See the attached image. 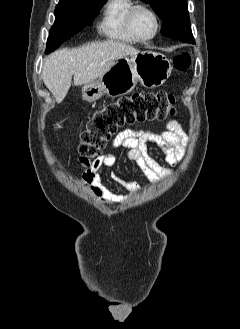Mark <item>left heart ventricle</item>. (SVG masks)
<instances>
[{"label": "left heart ventricle", "instance_id": "obj_1", "mask_svg": "<svg viewBox=\"0 0 240 329\" xmlns=\"http://www.w3.org/2000/svg\"><path fill=\"white\" fill-rule=\"evenodd\" d=\"M134 29L140 37L150 36L155 29L152 15L144 9L137 11L133 21Z\"/></svg>", "mask_w": 240, "mask_h": 329}]
</instances>
